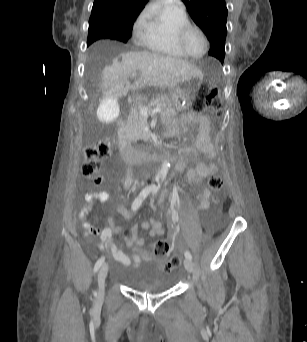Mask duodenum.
Returning a JSON list of instances; mask_svg holds the SVG:
<instances>
[{
    "label": "duodenum",
    "instance_id": "410a0bca",
    "mask_svg": "<svg viewBox=\"0 0 307 342\" xmlns=\"http://www.w3.org/2000/svg\"><path fill=\"white\" fill-rule=\"evenodd\" d=\"M126 117H121L119 119V127L120 128H127L128 127V122H127ZM119 152L121 157L131 163V164H143L145 163V160L151 159L145 152L137 150L135 148H132L128 146L126 143V138L123 133H119L118 135L115 136ZM168 162H172L171 157L167 156V159H165Z\"/></svg>",
    "mask_w": 307,
    "mask_h": 342
}]
</instances>
